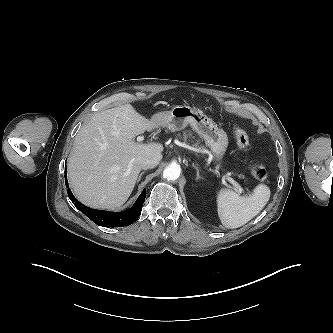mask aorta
Returning a JSON list of instances; mask_svg holds the SVG:
<instances>
[{
    "label": "aorta",
    "instance_id": "obj_1",
    "mask_svg": "<svg viewBox=\"0 0 333 333\" xmlns=\"http://www.w3.org/2000/svg\"><path fill=\"white\" fill-rule=\"evenodd\" d=\"M180 172V166L177 164H172L164 169L163 177L167 180H176L180 177Z\"/></svg>",
    "mask_w": 333,
    "mask_h": 333
}]
</instances>
